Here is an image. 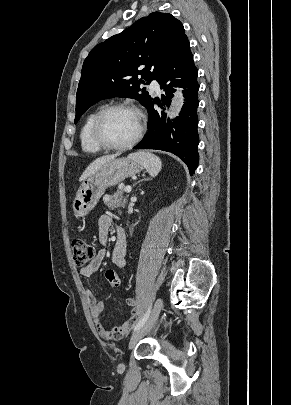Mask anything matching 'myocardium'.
Wrapping results in <instances>:
<instances>
[{
    "label": "myocardium",
    "instance_id": "myocardium-1",
    "mask_svg": "<svg viewBox=\"0 0 291 405\" xmlns=\"http://www.w3.org/2000/svg\"><path fill=\"white\" fill-rule=\"evenodd\" d=\"M119 109H125V110H130L134 112L139 119V128L136 133V135L127 143L124 144H112L108 141H106L102 135L101 131V126H102V121L104 117L114 111V110H119ZM145 131V118L143 113L139 108L132 104L128 103H114L111 105H108L104 108H102L95 116L92 126H91V137L93 141L102 149L106 150H113V151H122V150H127L135 146L140 139L142 138L143 134Z\"/></svg>",
    "mask_w": 291,
    "mask_h": 405
}]
</instances>
